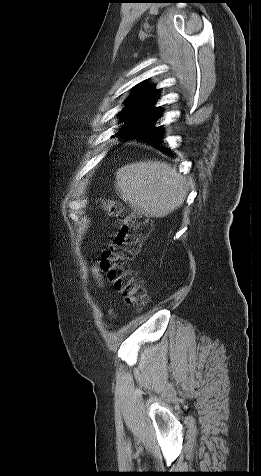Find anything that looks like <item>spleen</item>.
<instances>
[{
  "label": "spleen",
  "mask_w": 261,
  "mask_h": 476,
  "mask_svg": "<svg viewBox=\"0 0 261 476\" xmlns=\"http://www.w3.org/2000/svg\"><path fill=\"white\" fill-rule=\"evenodd\" d=\"M119 197L142 214L162 218L181 207L187 196L185 178L170 164L140 161L116 172Z\"/></svg>",
  "instance_id": "obj_1"
}]
</instances>
